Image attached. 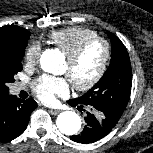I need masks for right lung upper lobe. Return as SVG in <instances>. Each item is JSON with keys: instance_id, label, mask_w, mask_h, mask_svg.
<instances>
[{"instance_id": "obj_1", "label": "right lung upper lobe", "mask_w": 153, "mask_h": 153, "mask_svg": "<svg viewBox=\"0 0 153 153\" xmlns=\"http://www.w3.org/2000/svg\"><path fill=\"white\" fill-rule=\"evenodd\" d=\"M30 33L24 28L7 25L0 28V45L19 44L28 41Z\"/></svg>"}]
</instances>
